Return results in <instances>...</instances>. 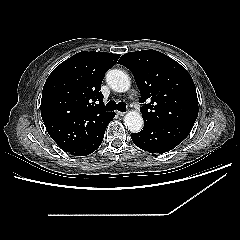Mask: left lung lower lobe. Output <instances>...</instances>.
<instances>
[{
  "label": "left lung lower lobe",
  "instance_id": "0a47b994",
  "mask_svg": "<svg viewBox=\"0 0 240 240\" xmlns=\"http://www.w3.org/2000/svg\"><path fill=\"white\" fill-rule=\"evenodd\" d=\"M192 123H145L139 133L131 134L136 146L150 153H165L179 145L190 133Z\"/></svg>",
  "mask_w": 240,
  "mask_h": 240
}]
</instances>
